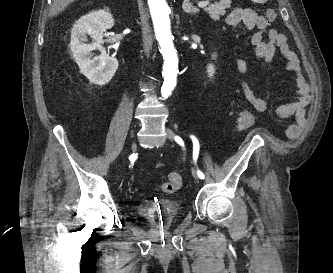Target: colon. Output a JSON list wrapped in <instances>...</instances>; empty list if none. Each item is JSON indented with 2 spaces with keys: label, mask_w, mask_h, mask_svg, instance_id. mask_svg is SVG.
Masks as SVG:
<instances>
[{
  "label": "colon",
  "mask_w": 333,
  "mask_h": 273,
  "mask_svg": "<svg viewBox=\"0 0 333 273\" xmlns=\"http://www.w3.org/2000/svg\"><path fill=\"white\" fill-rule=\"evenodd\" d=\"M266 18L272 22L276 18V11L268 9L266 11ZM255 122V115L249 111L244 110L240 113L237 127L239 130H245L253 125ZM182 185V178L179 173L171 172L168 174L167 180L161 185V190L165 193H173L177 191Z\"/></svg>",
  "instance_id": "1"
}]
</instances>
